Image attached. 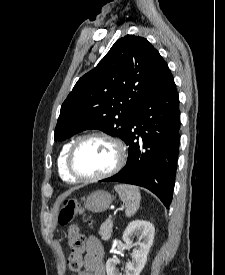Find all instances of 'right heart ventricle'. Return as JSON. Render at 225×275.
Masks as SVG:
<instances>
[{"label":"right heart ventricle","instance_id":"1","mask_svg":"<svg viewBox=\"0 0 225 275\" xmlns=\"http://www.w3.org/2000/svg\"><path fill=\"white\" fill-rule=\"evenodd\" d=\"M73 142H74V140H71L63 146V148L60 151L58 160H57V168H58L59 176L65 182H74L75 181V179L67 171V167H66L67 153H68L69 148L71 147Z\"/></svg>","mask_w":225,"mask_h":275}]
</instances>
